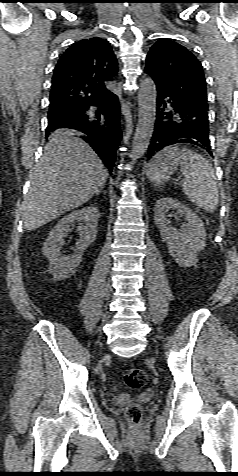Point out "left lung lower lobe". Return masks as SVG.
<instances>
[{"instance_id":"1","label":"left lung lower lobe","mask_w":238,"mask_h":476,"mask_svg":"<svg viewBox=\"0 0 238 476\" xmlns=\"http://www.w3.org/2000/svg\"><path fill=\"white\" fill-rule=\"evenodd\" d=\"M156 120L147 155L152 157L165 147L189 144L211 156L207 109L184 103L157 88Z\"/></svg>"}]
</instances>
